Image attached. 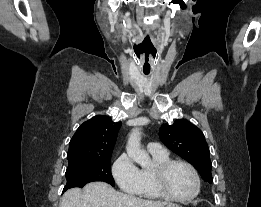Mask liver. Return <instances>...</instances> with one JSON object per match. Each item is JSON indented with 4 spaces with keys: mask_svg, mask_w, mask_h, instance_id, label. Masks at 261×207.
Masks as SVG:
<instances>
[{
    "mask_svg": "<svg viewBox=\"0 0 261 207\" xmlns=\"http://www.w3.org/2000/svg\"><path fill=\"white\" fill-rule=\"evenodd\" d=\"M167 204L118 192L104 182H91L83 192L79 188L66 191L60 207H165Z\"/></svg>",
    "mask_w": 261,
    "mask_h": 207,
    "instance_id": "liver-1",
    "label": "liver"
}]
</instances>
